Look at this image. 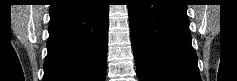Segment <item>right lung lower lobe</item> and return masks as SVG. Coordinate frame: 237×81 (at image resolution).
<instances>
[{
    "label": "right lung lower lobe",
    "instance_id": "1",
    "mask_svg": "<svg viewBox=\"0 0 237 81\" xmlns=\"http://www.w3.org/2000/svg\"><path fill=\"white\" fill-rule=\"evenodd\" d=\"M108 6L104 0L51 5L43 81H104Z\"/></svg>",
    "mask_w": 237,
    "mask_h": 81
}]
</instances>
